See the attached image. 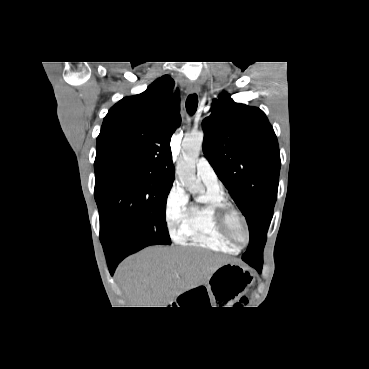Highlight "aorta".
Listing matches in <instances>:
<instances>
[{
  "label": "aorta",
  "mask_w": 369,
  "mask_h": 369,
  "mask_svg": "<svg viewBox=\"0 0 369 369\" xmlns=\"http://www.w3.org/2000/svg\"><path fill=\"white\" fill-rule=\"evenodd\" d=\"M203 138V131L192 133L184 137L182 142V155L176 167L180 182L193 194L203 191V186L196 178L195 174V161L199 156Z\"/></svg>",
  "instance_id": "762f6f07"
}]
</instances>
